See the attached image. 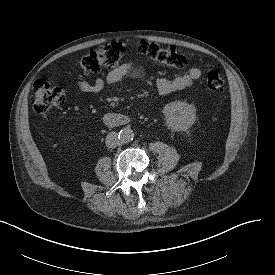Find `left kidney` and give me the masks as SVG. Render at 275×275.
<instances>
[{
	"label": "left kidney",
	"instance_id": "left-kidney-1",
	"mask_svg": "<svg viewBox=\"0 0 275 275\" xmlns=\"http://www.w3.org/2000/svg\"><path fill=\"white\" fill-rule=\"evenodd\" d=\"M166 124L175 131H186L195 121L193 106L186 102L174 101L163 109Z\"/></svg>",
	"mask_w": 275,
	"mask_h": 275
}]
</instances>
